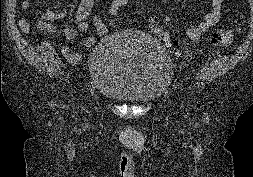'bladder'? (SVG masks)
<instances>
[{"label":"bladder","mask_w":253,"mask_h":177,"mask_svg":"<svg viewBox=\"0 0 253 177\" xmlns=\"http://www.w3.org/2000/svg\"><path fill=\"white\" fill-rule=\"evenodd\" d=\"M90 72L97 93L119 102L144 103L158 99L172 78V63L155 38L117 31L93 51Z\"/></svg>","instance_id":"31cf9c89"}]
</instances>
